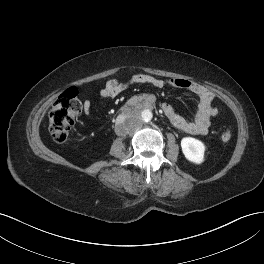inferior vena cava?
<instances>
[{"label": "inferior vena cava", "mask_w": 264, "mask_h": 264, "mask_svg": "<svg viewBox=\"0 0 264 264\" xmlns=\"http://www.w3.org/2000/svg\"><path fill=\"white\" fill-rule=\"evenodd\" d=\"M126 121H127V119L123 115H118L115 118L116 125H125L126 124Z\"/></svg>", "instance_id": "1"}]
</instances>
